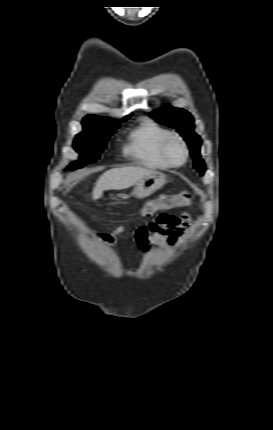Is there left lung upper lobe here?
Listing matches in <instances>:
<instances>
[{
	"instance_id": "5c2ea615",
	"label": "left lung upper lobe",
	"mask_w": 273,
	"mask_h": 430,
	"mask_svg": "<svg viewBox=\"0 0 273 430\" xmlns=\"http://www.w3.org/2000/svg\"><path fill=\"white\" fill-rule=\"evenodd\" d=\"M150 116L162 124L175 128L184 137L190 147L191 156L195 162L194 167L203 175L206 168L199 153L201 139L194 132V120L191 114L184 109L167 106L150 113Z\"/></svg>"
}]
</instances>
